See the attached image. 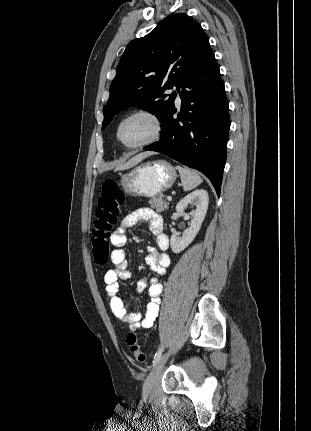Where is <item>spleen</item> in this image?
<instances>
[{"instance_id": "spleen-1", "label": "spleen", "mask_w": 311, "mask_h": 431, "mask_svg": "<svg viewBox=\"0 0 311 431\" xmlns=\"http://www.w3.org/2000/svg\"><path fill=\"white\" fill-rule=\"evenodd\" d=\"M176 170H178L180 174L184 192L194 190V188H197V186L203 182L198 172H194V170H189V168H181V166H176Z\"/></svg>"}]
</instances>
